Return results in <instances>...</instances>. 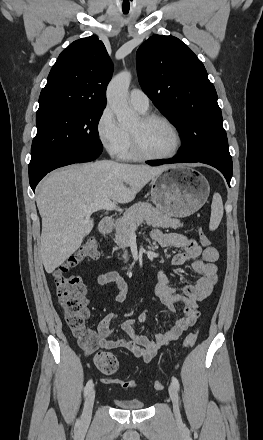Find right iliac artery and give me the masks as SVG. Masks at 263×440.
<instances>
[{
  "label": "right iliac artery",
  "mask_w": 263,
  "mask_h": 440,
  "mask_svg": "<svg viewBox=\"0 0 263 440\" xmlns=\"http://www.w3.org/2000/svg\"><path fill=\"white\" fill-rule=\"evenodd\" d=\"M93 387V381L89 380L84 388V396H87V394L90 392V390ZM80 424V420H77V425Z\"/></svg>",
  "instance_id": "1"
}]
</instances>
